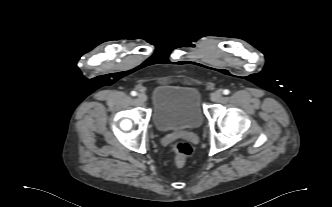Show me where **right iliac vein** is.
I'll return each instance as SVG.
<instances>
[{"instance_id":"1","label":"right iliac vein","mask_w":332,"mask_h":207,"mask_svg":"<svg viewBox=\"0 0 332 207\" xmlns=\"http://www.w3.org/2000/svg\"><path fill=\"white\" fill-rule=\"evenodd\" d=\"M137 97H138V100L140 102H146L147 101V96H146L145 93H139Z\"/></svg>"}]
</instances>
